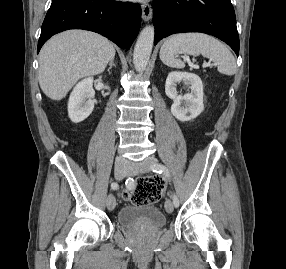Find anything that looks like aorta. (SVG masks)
I'll list each match as a JSON object with an SVG mask.
<instances>
[{
  "label": "aorta",
  "instance_id": "762f6f07",
  "mask_svg": "<svg viewBox=\"0 0 286 269\" xmlns=\"http://www.w3.org/2000/svg\"><path fill=\"white\" fill-rule=\"evenodd\" d=\"M154 42V27L146 26L140 33L133 52V64L138 72L146 69Z\"/></svg>",
  "mask_w": 286,
  "mask_h": 269
}]
</instances>
